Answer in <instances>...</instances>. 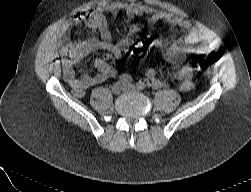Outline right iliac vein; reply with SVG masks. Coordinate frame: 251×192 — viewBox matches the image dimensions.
Wrapping results in <instances>:
<instances>
[{
	"instance_id": "1",
	"label": "right iliac vein",
	"mask_w": 251,
	"mask_h": 192,
	"mask_svg": "<svg viewBox=\"0 0 251 192\" xmlns=\"http://www.w3.org/2000/svg\"><path fill=\"white\" fill-rule=\"evenodd\" d=\"M123 90V83L117 82L112 86V93L118 95Z\"/></svg>"
}]
</instances>
